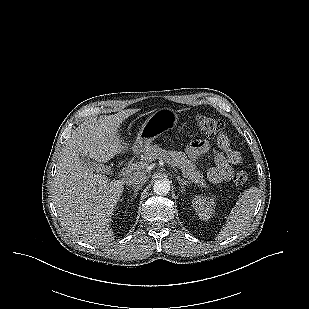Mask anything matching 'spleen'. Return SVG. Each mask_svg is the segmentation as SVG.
Segmentation results:
<instances>
[{
    "mask_svg": "<svg viewBox=\"0 0 309 309\" xmlns=\"http://www.w3.org/2000/svg\"><path fill=\"white\" fill-rule=\"evenodd\" d=\"M259 196L260 193L257 187H250L244 191L227 217L223 229L217 236L218 240L222 241L232 235H236L248 225L258 203Z\"/></svg>",
    "mask_w": 309,
    "mask_h": 309,
    "instance_id": "obj_1",
    "label": "spleen"
}]
</instances>
